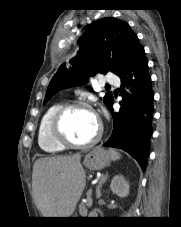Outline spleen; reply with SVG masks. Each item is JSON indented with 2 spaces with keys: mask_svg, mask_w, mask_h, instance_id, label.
Wrapping results in <instances>:
<instances>
[{
  "mask_svg": "<svg viewBox=\"0 0 181 227\" xmlns=\"http://www.w3.org/2000/svg\"><path fill=\"white\" fill-rule=\"evenodd\" d=\"M108 151H109V153L111 155L112 160H114V161L118 160L120 158V156H121L116 150H114L112 148H110Z\"/></svg>",
  "mask_w": 181,
  "mask_h": 227,
  "instance_id": "spleen-1",
  "label": "spleen"
}]
</instances>
